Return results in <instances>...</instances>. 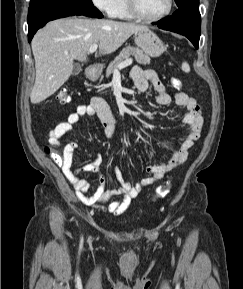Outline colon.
Wrapping results in <instances>:
<instances>
[{
    "mask_svg": "<svg viewBox=\"0 0 243 289\" xmlns=\"http://www.w3.org/2000/svg\"><path fill=\"white\" fill-rule=\"evenodd\" d=\"M171 83L173 87L179 89L182 87V82L178 78H172ZM57 98L62 103H68L70 101V95L68 94L66 89H60ZM58 147L47 148L48 153L51 154L53 160L56 164L61 165L63 163V157L60 155L55 149ZM171 184L167 183L165 186H161L157 189L153 199L163 198L170 192Z\"/></svg>",
    "mask_w": 243,
    "mask_h": 289,
    "instance_id": "5ec220e1",
    "label": "colon"
}]
</instances>
